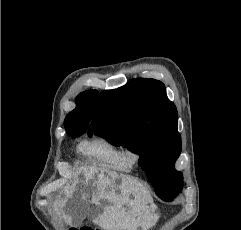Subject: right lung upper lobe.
<instances>
[{
	"mask_svg": "<svg viewBox=\"0 0 241 230\" xmlns=\"http://www.w3.org/2000/svg\"><path fill=\"white\" fill-rule=\"evenodd\" d=\"M97 95L98 92L96 90H89L77 96L76 108L66 116L64 121L67 133L73 130L87 129Z\"/></svg>",
	"mask_w": 241,
	"mask_h": 230,
	"instance_id": "cb5924a9",
	"label": "right lung upper lobe"
}]
</instances>
